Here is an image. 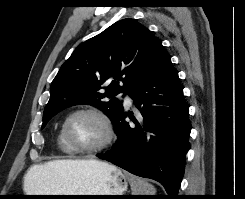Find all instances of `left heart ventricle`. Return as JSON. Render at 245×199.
Returning <instances> with one entry per match:
<instances>
[{"label": "left heart ventricle", "mask_w": 245, "mask_h": 199, "mask_svg": "<svg viewBox=\"0 0 245 199\" xmlns=\"http://www.w3.org/2000/svg\"><path fill=\"white\" fill-rule=\"evenodd\" d=\"M68 132L73 142L82 148L99 145L105 138L102 123L93 115L80 114L72 118Z\"/></svg>", "instance_id": "obj_1"}]
</instances>
